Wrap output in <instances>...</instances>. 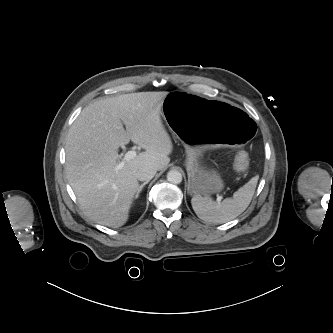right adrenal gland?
<instances>
[{
    "label": "right adrenal gland",
    "instance_id": "2a0ac1e0",
    "mask_svg": "<svg viewBox=\"0 0 333 333\" xmlns=\"http://www.w3.org/2000/svg\"><path fill=\"white\" fill-rule=\"evenodd\" d=\"M147 183H148V182H144V183H142V184L139 186V188H138V190H137V193H136V195H135V199H137V198L139 197L140 192L142 191L143 187H144Z\"/></svg>",
    "mask_w": 333,
    "mask_h": 333
}]
</instances>
